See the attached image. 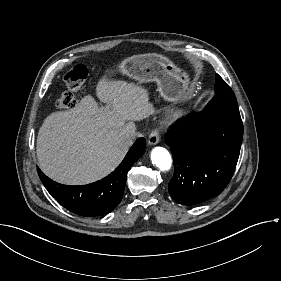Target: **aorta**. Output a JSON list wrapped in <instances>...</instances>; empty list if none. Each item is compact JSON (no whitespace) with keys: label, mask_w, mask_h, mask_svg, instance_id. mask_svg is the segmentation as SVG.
Listing matches in <instances>:
<instances>
[{"label":"aorta","mask_w":281,"mask_h":281,"mask_svg":"<svg viewBox=\"0 0 281 281\" xmlns=\"http://www.w3.org/2000/svg\"><path fill=\"white\" fill-rule=\"evenodd\" d=\"M152 163L161 171L171 168L172 159L170 153L163 147H155L151 152Z\"/></svg>","instance_id":"1"}]
</instances>
